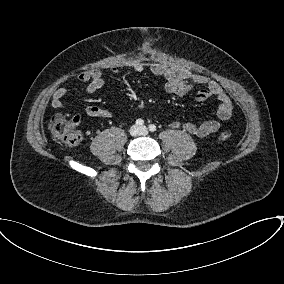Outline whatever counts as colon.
<instances>
[{"instance_id":"colon-1","label":"colon","mask_w":284,"mask_h":284,"mask_svg":"<svg viewBox=\"0 0 284 284\" xmlns=\"http://www.w3.org/2000/svg\"><path fill=\"white\" fill-rule=\"evenodd\" d=\"M78 123V117L70 118L63 113H56L50 120L49 130L56 140L68 145H77L83 139L82 133L77 130ZM230 137L231 133L227 131L219 135L221 140H228Z\"/></svg>"}]
</instances>
